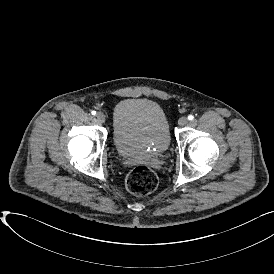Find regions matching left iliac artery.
I'll return each mask as SVG.
<instances>
[{
  "label": "left iliac artery",
  "instance_id": "44dca946",
  "mask_svg": "<svg viewBox=\"0 0 274 274\" xmlns=\"http://www.w3.org/2000/svg\"><path fill=\"white\" fill-rule=\"evenodd\" d=\"M188 119H189V120H193V119H194V116H193V115H189V116H188Z\"/></svg>",
  "mask_w": 274,
  "mask_h": 274
}]
</instances>
